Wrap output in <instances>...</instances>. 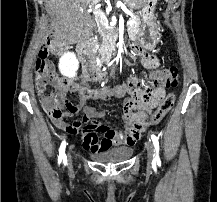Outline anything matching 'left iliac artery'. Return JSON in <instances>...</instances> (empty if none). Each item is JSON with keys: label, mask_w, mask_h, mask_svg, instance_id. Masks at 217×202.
Wrapping results in <instances>:
<instances>
[{"label": "left iliac artery", "mask_w": 217, "mask_h": 202, "mask_svg": "<svg viewBox=\"0 0 217 202\" xmlns=\"http://www.w3.org/2000/svg\"><path fill=\"white\" fill-rule=\"evenodd\" d=\"M151 139H152L153 145L155 147L154 161H155V163L157 162V164L160 165L161 161L159 158V141H158V138L154 134H152Z\"/></svg>", "instance_id": "44dca946"}]
</instances>
